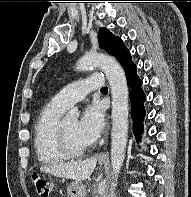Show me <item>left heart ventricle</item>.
I'll list each match as a JSON object with an SVG mask.
<instances>
[{"label":"left heart ventricle","mask_w":191,"mask_h":197,"mask_svg":"<svg viewBox=\"0 0 191 197\" xmlns=\"http://www.w3.org/2000/svg\"><path fill=\"white\" fill-rule=\"evenodd\" d=\"M63 124L68 140L74 148L79 149L87 146V144H85L78 136V122L76 120H69L64 122Z\"/></svg>","instance_id":"b2bd125f"}]
</instances>
